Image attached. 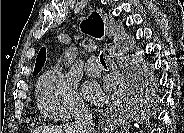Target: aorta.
<instances>
[{
  "label": "aorta",
  "instance_id": "762f6f07",
  "mask_svg": "<svg viewBox=\"0 0 184 133\" xmlns=\"http://www.w3.org/2000/svg\"><path fill=\"white\" fill-rule=\"evenodd\" d=\"M74 53H75V49L74 48L67 49L64 52L63 58H64L66 63L70 64V63L73 62Z\"/></svg>",
  "mask_w": 184,
  "mask_h": 133
}]
</instances>
